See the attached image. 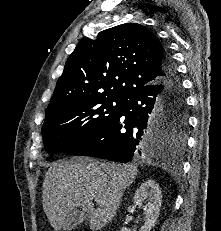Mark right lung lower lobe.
Here are the masks:
<instances>
[{"label":"right lung lower lobe","mask_w":221,"mask_h":231,"mask_svg":"<svg viewBox=\"0 0 221 231\" xmlns=\"http://www.w3.org/2000/svg\"><path fill=\"white\" fill-rule=\"evenodd\" d=\"M164 50L161 82L128 95L104 128L67 153L127 163L140 156L156 155L163 149L166 135L156 130L154 116L165 101L185 103L176 65Z\"/></svg>","instance_id":"obj_1"}]
</instances>
